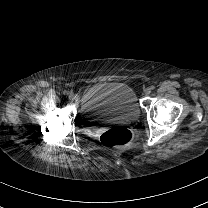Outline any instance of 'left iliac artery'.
<instances>
[{"instance_id": "44dca946", "label": "left iliac artery", "mask_w": 208, "mask_h": 208, "mask_svg": "<svg viewBox=\"0 0 208 208\" xmlns=\"http://www.w3.org/2000/svg\"><path fill=\"white\" fill-rule=\"evenodd\" d=\"M150 89H151V90H154V89H155V87L152 85V86L150 87Z\"/></svg>"}]
</instances>
